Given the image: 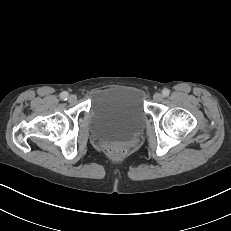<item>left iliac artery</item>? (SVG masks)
Segmentation results:
<instances>
[{"instance_id":"left-iliac-artery-1","label":"left iliac artery","mask_w":231,"mask_h":231,"mask_svg":"<svg viewBox=\"0 0 231 231\" xmlns=\"http://www.w3.org/2000/svg\"><path fill=\"white\" fill-rule=\"evenodd\" d=\"M169 94H170L169 89H166V88H165V89L162 90V95H163V97H168Z\"/></svg>"}]
</instances>
